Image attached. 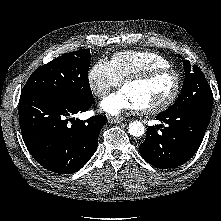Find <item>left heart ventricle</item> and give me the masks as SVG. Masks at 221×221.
<instances>
[{
  "label": "left heart ventricle",
  "instance_id": "left-heart-ventricle-1",
  "mask_svg": "<svg viewBox=\"0 0 221 221\" xmlns=\"http://www.w3.org/2000/svg\"><path fill=\"white\" fill-rule=\"evenodd\" d=\"M175 78L171 74L158 76L144 83H132L122 89L131 97L139 109L155 106L172 93Z\"/></svg>",
  "mask_w": 221,
  "mask_h": 221
}]
</instances>
